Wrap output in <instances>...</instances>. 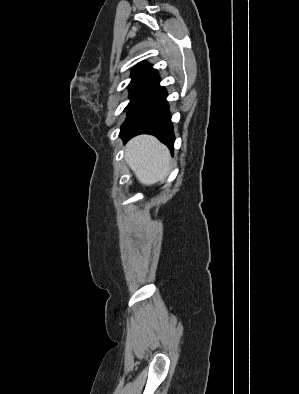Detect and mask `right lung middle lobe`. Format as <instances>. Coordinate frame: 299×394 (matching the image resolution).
<instances>
[{
    "label": "right lung middle lobe",
    "instance_id": "1",
    "mask_svg": "<svg viewBox=\"0 0 299 394\" xmlns=\"http://www.w3.org/2000/svg\"><path fill=\"white\" fill-rule=\"evenodd\" d=\"M130 103L125 108V111H128L129 108L140 98L148 89L146 88H137V87H130Z\"/></svg>",
    "mask_w": 299,
    "mask_h": 394
}]
</instances>
